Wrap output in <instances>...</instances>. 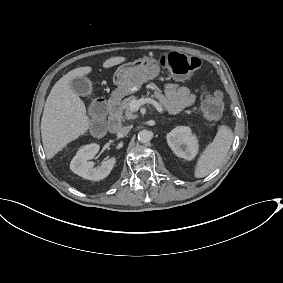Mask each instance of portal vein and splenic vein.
<instances>
[{
  "label": "portal vein and splenic vein",
  "instance_id": "18ae733b",
  "mask_svg": "<svg viewBox=\"0 0 283 283\" xmlns=\"http://www.w3.org/2000/svg\"><path fill=\"white\" fill-rule=\"evenodd\" d=\"M143 103H144V101H140V100L131 101L130 110L131 111H137Z\"/></svg>",
  "mask_w": 283,
  "mask_h": 283
}]
</instances>
